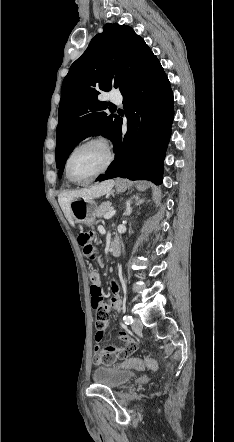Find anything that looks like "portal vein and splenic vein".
I'll return each instance as SVG.
<instances>
[{
    "instance_id": "portal-vein-and-splenic-vein-1",
    "label": "portal vein and splenic vein",
    "mask_w": 234,
    "mask_h": 442,
    "mask_svg": "<svg viewBox=\"0 0 234 442\" xmlns=\"http://www.w3.org/2000/svg\"><path fill=\"white\" fill-rule=\"evenodd\" d=\"M115 213H116L115 210H111V211L107 212L106 214H104L103 217H104L105 219H110L112 216L115 215Z\"/></svg>"
}]
</instances>
